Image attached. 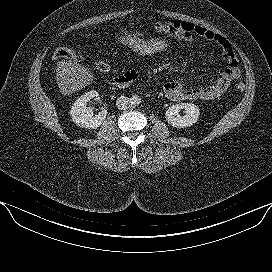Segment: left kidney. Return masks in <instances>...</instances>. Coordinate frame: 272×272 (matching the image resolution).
<instances>
[{
  "label": "left kidney",
  "mask_w": 272,
  "mask_h": 272,
  "mask_svg": "<svg viewBox=\"0 0 272 272\" xmlns=\"http://www.w3.org/2000/svg\"><path fill=\"white\" fill-rule=\"evenodd\" d=\"M185 110V115L179 114L180 110ZM200 112L199 108L191 103H180L169 107L165 117L167 122L173 127L184 128L190 127L198 121Z\"/></svg>",
  "instance_id": "left-kidney-1"
}]
</instances>
